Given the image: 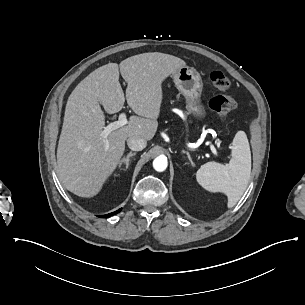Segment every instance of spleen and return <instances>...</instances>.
<instances>
[{
	"label": "spleen",
	"instance_id": "3e777b00",
	"mask_svg": "<svg viewBox=\"0 0 305 305\" xmlns=\"http://www.w3.org/2000/svg\"><path fill=\"white\" fill-rule=\"evenodd\" d=\"M251 174V152L244 131L235 133L230 149V162L222 165L209 162L200 167L196 181L210 193L227 197V208H232L245 192Z\"/></svg>",
	"mask_w": 305,
	"mask_h": 305
}]
</instances>
